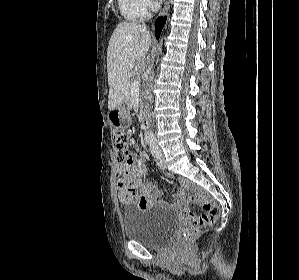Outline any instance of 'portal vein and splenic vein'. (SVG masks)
<instances>
[{"label":"portal vein and splenic vein","instance_id":"1","mask_svg":"<svg viewBox=\"0 0 299 280\" xmlns=\"http://www.w3.org/2000/svg\"><path fill=\"white\" fill-rule=\"evenodd\" d=\"M140 88V82L137 80H134L130 87V92L132 95H137L139 93Z\"/></svg>","mask_w":299,"mask_h":280}]
</instances>
